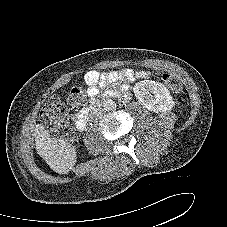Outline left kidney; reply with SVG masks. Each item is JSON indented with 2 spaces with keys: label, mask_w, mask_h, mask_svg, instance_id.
Returning a JSON list of instances; mask_svg holds the SVG:
<instances>
[{
  "label": "left kidney",
  "mask_w": 227,
  "mask_h": 227,
  "mask_svg": "<svg viewBox=\"0 0 227 227\" xmlns=\"http://www.w3.org/2000/svg\"><path fill=\"white\" fill-rule=\"evenodd\" d=\"M133 90L140 104L149 111L166 112L174 106L169 90L162 83L144 80L136 83Z\"/></svg>",
  "instance_id": "obj_1"
}]
</instances>
